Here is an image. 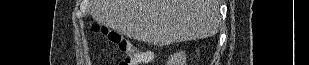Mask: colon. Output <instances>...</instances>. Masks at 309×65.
I'll return each instance as SVG.
<instances>
[{
  "label": "colon",
  "mask_w": 309,
  "mask_h": 65,
  "mask_svg": "<svg viewBox=\"0 0 309 65\" xmlns=\"http://www.w3.org/2000/svg\"><path fill=\"white\" fill-rule=\"evenodd\" d=\"M114 42L121 55L120 65H139L147 60L149 52L138 49L134 43L120 37H114Z\"/></svg>",
  "instance_id": "1"
}]
</instances>
